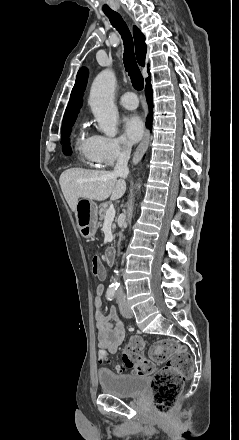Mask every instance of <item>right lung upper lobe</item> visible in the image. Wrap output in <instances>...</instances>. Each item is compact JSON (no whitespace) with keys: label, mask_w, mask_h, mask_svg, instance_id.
Wrapping results in <instances>:
<instances>
[{"label":"right lung upper lobe","mask_w":239,"mask_h":440,"mask_svg":"<svg viewBox=\"0 0 239 440\" xmlns=\"http://www.w3.org/2000/svg\"><path fill=\"white\" fill-rule=\"evenodd\" d=\"M133 36L135 41V52L137 61L140 65H145V56L147 52V46L145 44V37L139 28L136 26L133 27ZM149 73V65L147 66ZM88 77V71L86 68H81L78 71L75 85L72 89L70 100L68 103V107L66 108L62 126H65L68 123H71L76 120L79 109L82 106V97L83 92L86 87Z\"/></svg>","instance_id":"cb5924a9"}]
</instances>
